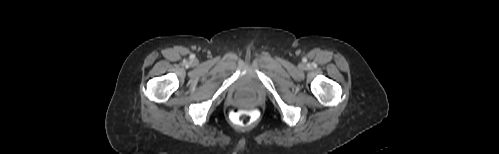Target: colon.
I'll use <instances>...</instances> for the list:
<instances>
[{
    "instance_id": "1",
    "label": "colon",
    "mask_w": 499,
    "mask_h": 154,
    "mask_svg": "<svg viewBox=\"0 0 499 154\" xmlns=\"http://www.w3.org/2000/svg\"><path fill=\"white\" fill-rule=\"evenodd\" d=\"M256 118V110L242 105L234 106L230 111V119L236 126L243 127L251 124Z\"/></svg>"
}]
</instances>
